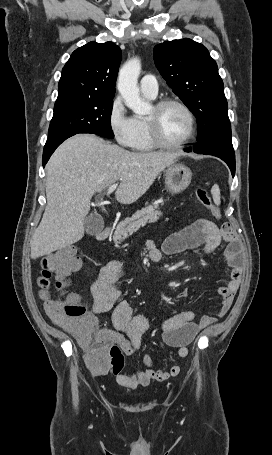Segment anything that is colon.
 I'll use <instances>...</instances> for the list:
<instances>
[{
  "label": "colon",
  "instance_id": "obj_1",
  "mask_svg": "<svg viewBox=\"0 0 272 455\" xmlns=\"http://www.w3.org/2000/svg\"><path fill=\"white\" fill-rule=\"evenodd\" d=\"M196 196L215 218L220 217L217 207L205 190L199 188ZM79 265L80 260L74 246H65L43 260L38 285L45 312L50 319L78 339L85 351L89 367L96 371L118 372L124 362L121 347L110 344L95 334V319L86 313L85 307L76 296L66 295L69 276ZM55 293L59 296H54Z\"/></svg>",
  "mask_w": 272,
  "mask_h": 455
}]
</instances>
